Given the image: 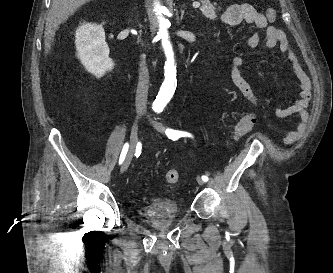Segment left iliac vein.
Here are the masks:
<instances>
[{
    "mask_svg": "<svg viewBox=\"0 0 333 273\" xmlns=\"http://www.w3.org/2000/svg\"><path fill=\"white\" fill-rule=\"evenodd\" d=\"M151 125H152L157 131H159V132H161V133H164V132H165V126H164L162 123H160V122H158V121H155V120H151ZM196 180H197V183H198L199 185H204V183H205V181H203V180H202L201 178H199V177H197Z\"/></svg>",
    "mask_w": 333,
    "mask_h": 273,
    "instance_id": "4c4485c4",
    "label": "left iliac vein"
}]
</instances>
